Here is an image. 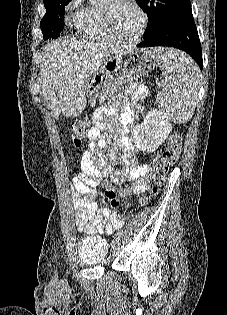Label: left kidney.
I'll return each mask as SVG.
<instances>
[{
  "label": "left kidney",
  "instance_id": "left-kidney-1",
  "mask_svg": "<svg viewBox=\"0 0 227 315\" xmlns=\"http://www.w3.org/2000/svg\"><path fill=\"white\" fill-rule=\"evenodd\" d=\"M172 130V124L157 109L148 112L143 123L133 129L136 147L143 152H154L166 140Z\"/></svg>",
  "mask_w": 227,
  "mask_h": 315
}]
</instances>
